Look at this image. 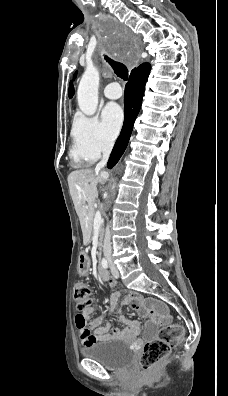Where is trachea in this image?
<instances>
[{"label":"trachea","instance_id":"trachea-1","mask_svg":"<svg viewBox=\"0 0 228 396\" xmlns=\"http://www.w3.org/2000/svg\"><path fill=\"white\" fill-rule=\"evenodd\" d=\"M105 59L111 65V67L114 70V73L118 77H120L123 80H127V78H128V69H127V67L124 64H122L120 62L113 61L108 56H105Z\"/></svg>","mask_w":228,"mask_h":396}]
</instances>
